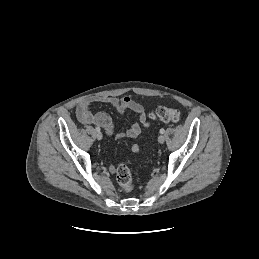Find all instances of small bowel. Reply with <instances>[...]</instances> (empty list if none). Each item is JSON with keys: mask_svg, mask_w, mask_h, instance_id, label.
Returning a JSON list of instances; mask_svg holds the SVG:
<instances>
[{"mask_svg": "<svg viewBox=\"0 0 259 259\" xmlns=\"http://www.w3.org/2000/svg\"><path fill=\"white\" fill-rule=\"evenodd\" d=\"M94 102H102L110 104L119 113H124L125 111H132L138 115L139 122L146 123V113L144 106L133 100L130 97L116 98L111 96H92L82 100L76 108V115L78 120L83 124H94L102 127L108 136L113 134V124L111 117L105 112H98L96 114L90 111V105ZM141 133V126L138 122L133 123L130 128L124 132L118 134L119 138H136ZM133 152H138L139 147L137 145L132 146ZM110 172L115 171L114 166L109 167Z\"/></svg>", "mask_w": 259, "mask_h": 259, "instance_id": "c3829d8e", "label": "small bowel"}]
</instances>
